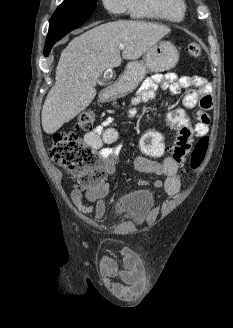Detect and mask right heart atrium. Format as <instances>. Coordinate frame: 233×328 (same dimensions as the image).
<instances>
[{
  "instance_id": "1",
  "label": "right heart atrium",
  "mask_w": 233,
  "mask_h": 328,
  "mask_svg": "<svg viewBox=\"0 0 233 328\" xmlns=\"http://www.w3.org/2000/svg\"><path fill=\"white\" fill-rule=\"evenodd\" d=\"M126 1L127 0H103V3L111 13L118 14L126 9Z\"/></svg>"
}]
</instances>
